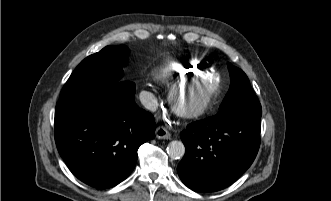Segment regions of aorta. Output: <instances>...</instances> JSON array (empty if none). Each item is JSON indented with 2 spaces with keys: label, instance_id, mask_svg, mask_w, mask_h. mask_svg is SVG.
<instances>
[{
  "label": "aorta",
  "instance_id": "obj_1",
  "mask_svg": "<svg viewBox=\"0 0 331 201\" xmlns=\"http://www.w3.org/2000/svg\"><path fill=\"white\" fill-rule=\"evenodd\" d=\"M167 153L172 159H179L185 154V146L181 141H171L167 146Z\"/></svg>",
  "mask_w": 331,
  "mask_h": 201
}]
</instances>
